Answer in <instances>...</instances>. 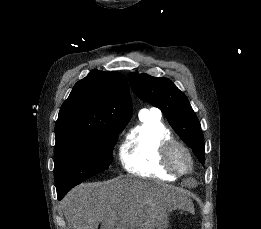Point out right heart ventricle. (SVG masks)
<instances>
[{
	"label": "right heart ventricle",
	"mask_w": 261,
	"mask_h": 229,
	"mask_svg": "<svg viewBox=\"0 0 261 229\" xmlns=\"http://www.w3.org/2000/svg\"><path fill=\"white\" fill-rule=\"evenodd\" d=\"M139 117V126L120 148L124 169L135 175L165 173L175 177L163 163L162 148L165 143L174 140V136L162 121L160 111L154 107H144L139 111Z\"/></svg>",
	"instance_id": "1"
}]
</instances>
